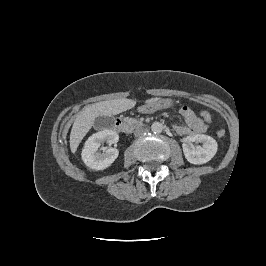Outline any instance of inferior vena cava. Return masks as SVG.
Masks as SVG:
<instances>
[{"mask_svg": "<svg viewBox=\"0 0 266 266\" xmlns=\"http://www.w3.org/2000/svg\"><path fill=\"white\" fill-rule=\"evenodd\" d=\"M145 130L140 128V129H136L135 132H134V135L135 136H140Z\"/></svg>", "mask_w": 266, "mask_h": 266, "instance_id": "1", "label": "inferior vena cava"}]
</instances>
